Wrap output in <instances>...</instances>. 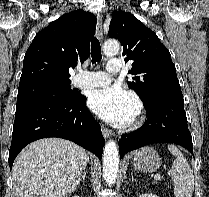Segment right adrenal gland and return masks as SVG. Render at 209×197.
Returning a JSON list of instances; mask_svg holds the SVG:
<instances>
[{
	"mask_svg": "<svg viewBox=\"0 0 209 197\" xmlns=\"http://www.w3.org/2000/svg\"><path fill=\"white\" fill-rule=\"evenodd\" d=\"M85 177H86V171L84 170L79 181L84 182L85 181Z\"/></svg>",
	"mask_w": 209,
	"mask_h": 197,
	"instance_id": "obj_1",
	"label": "right adrenal gland"
}]
</instances>
